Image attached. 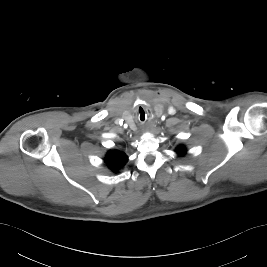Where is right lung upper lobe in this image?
Listing matches in <instances>:
<instances>
[{
    "label": "right lung upper lobe",
    "instance_id": "obj_1",
    "mask_svg": "<svg viewBox=\"0 0 267 267\" xmlns=\"http://www.w3.org/2000/svg\"><path fill=\"white\" fill-rule=\"evenodd\" d=\"M127 155L118 150H110L105 157L106 166L114 173H118L127 163Z\"/></svg>",
    "mask_w": 267,
    "mask_h": 267
}]
</instances>
